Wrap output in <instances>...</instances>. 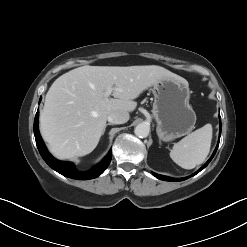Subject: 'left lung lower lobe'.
<instances>
[{
    "mask_svg": "<svg viewBox=\"0 0 247 247\" xmlns=\"http://www.w3.org/2000/svg\"><path fill=\"white\" fill-rule=\"evenodd\" d=\"M220 135H221V123H220V133H219V140H220ZM218 145H219V142H218ZM218 145L214 151V153L212 154L211 158L206 162V164L204 166H202L196 173H194L193 175L189 176V177H185V178H171V177H167V176H163V175H159V174H156V173H153V175L155 177H157L158 179L160 180H164V181H183V180H186L194 175H196L197 173H199L202 169H204L208 164L209 162L212 160V158L214 157L216 151H217V148H218Z\"/></svg>",
    "mask_w": 247,
    "mask_h": 247,
    "instance_id": "left-lung-lower-lobe-1",
    "label": "left lung lower lobe"
}]
</instances>
